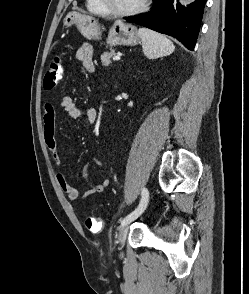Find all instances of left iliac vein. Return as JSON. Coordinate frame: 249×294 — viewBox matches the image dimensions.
<instances>
[{
    "mask_svg": "<svg viewBox=\"0 0 249 294\" xmlns=\"http://www.w3.org/2000/svg\"><path fill=\"white\" fill-rule=\"evenodd\" d=\"M127 234H128V226L124 225L120 228L119 234H118L119 250L121 251V254H122L123 247L125 245Z\"/></svg>",
    "mask_w": 249,
    "mask_h": 294,
    "instance_id": "4c4485c4",
    "label": "left iliac vein"
}]
</instances>
